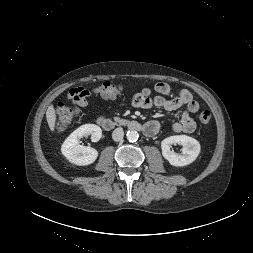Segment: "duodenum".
<instances>
[{
	"label": "duodenum",
	"mask_w": 253,
	"mask_h": 253,
	"mask_svg": "<svg viewBox=\"0 0 253 253\" xmlns=\"http://www.w3.org/2000/svg\"><path fill=\"white\" fill-rule=\"evenodd\" d=\"M98 124L104 130H107V131L113 130L117 126V123L114 120L110 118H106V117H100L98 119ZM127 126L129 129L134 130V131L144 130V126L140 124L138 121H129Z\"/></svg>",
	"instance_id": "obj_1"
}]
</instances>
